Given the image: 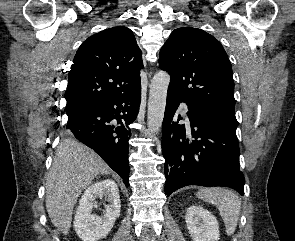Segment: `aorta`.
I'll list each match as a JSON object with an SVG mask.
<instances>
[{
	"label": "aorta",
	"mask_w": 295,
	"mask_h": 241,
	"mask_svg": "<svg viewBox=\"0 0 295 241\" xmlns=\"http://www.w3.org/2000/svg\"><path fill=\"white\" fill-rule=\"evenodd\" d=\"M169 83L170 75L165 71H159L151 80L147 114L151 135L157 134L162 127Z\"/></svg>",
	"instance_id": "762f6f07"
}]
</instances>
